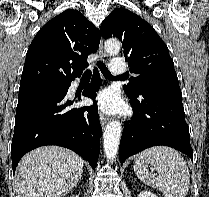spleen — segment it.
Returning <instances> with one entry per match:
<instances>
[{"label": "spleen", "instance_id": "spleen-1", "mask_svg": "<svg viewBox=\"0 0 209 197\" xmlns=\"http://www.w3.org/2000/svg\"><path fill=\"white\" fill-rule=\"evenodd\" d=\"M151 164L158 176L147 169ZM134 172L145 184L160 190L164 197H185L190 173L184 158L173 148L154 146L140 152L134 160Z\"/></svg>", "mask_w": 209, "mask_h": 197}]
</instances>
